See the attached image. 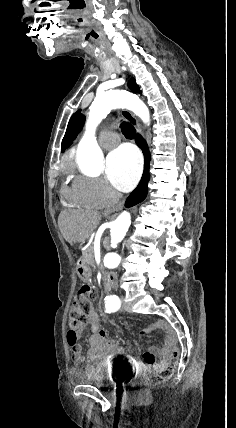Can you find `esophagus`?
Instances as JSON below:
<instances>
[{
	"label": "esophagus",
	"mask_w": 236,
	"mask_h": 428,
	"mask_svg": "<svg viewBox=\"0 0 236 428\" xmlns=\"http://www.w3.org/2000/svg\"><path fill=\"white\" fill-rule=\"evenodd\" d=\"M122 116L137 130L141 133V126L134 115L129 110H122Z\"/></svg>",
	"instance_id": "esophagus-1"
}]
</instances>
